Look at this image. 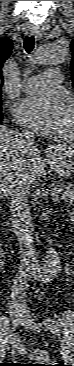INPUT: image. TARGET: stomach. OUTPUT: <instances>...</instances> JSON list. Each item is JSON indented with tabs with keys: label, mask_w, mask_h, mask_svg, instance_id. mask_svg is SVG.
Listing matches in <instances>:
<instances>
[{
	"label": "stomach",
	"mask_w": 74,
	"mask_h": 366,
	"mask_svg": "<svg viewBox=\"0 0 74 366\" xmlns=\"http://www.w3.org/2000/svg\"><path fill=\"white\" fill-rule=\"evenodd\" d=\"M49 157L57 173L66 176L71 174L73 159L68 152L57 151Z\"/></svg>",
	"instance_id": "obj_1"
}]
</instances>
